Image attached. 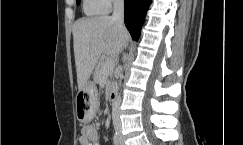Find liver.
Returning <instances> with one entry per match:
<instances>
[{"label":"liver","mask_w":243,"mask_h":145,"mask_svg":"<svg viewBox=\"0 0 243 145\" xmlns=\"http://www.w3.org/2000/svg\"><path fill=\"white\" fill-rule=\"evenodd\" d=\"M128 41L126 28L121 29L109 16L77 20L73 25V43L79 90L87 84L100 57L117 56Z\"/></svg>","instance_id":"liver-1"}]
</instances>
